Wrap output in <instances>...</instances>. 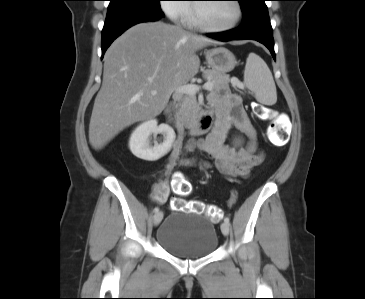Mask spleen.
Returning a JSON list of instances; mask_svg holds the SVG:
<instances>
[{
    "label": "spleen",
    "mask_w": 365,
    "mask_h": 299,
    "mask_svg": "<svg viewBox=\"0 0 365 299\" xmlns=\"http://www.w3.org/2000/svg\"><path fill=\"white\" fill-rule=\"evenodd\" d=\"M244 84L255 93L258 102L269 106L276 103L277 92L272 73L265 61L255 53H250L246 60Z\"/></svg>",
    "instance_id": "1"
}]
</instances>
